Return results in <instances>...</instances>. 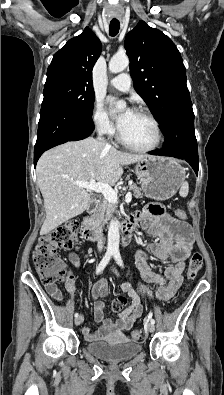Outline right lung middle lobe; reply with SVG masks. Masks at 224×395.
<instances>
[{"mask_svg":"<svg viewBox=\"0 0 224 395\" xmlns=\"http://www.w3.org/2000/svg\"><path fill=\"white\" fill-rule=\"evenodd\" d=\"M44 100L56 102L77 113L92 115L95 93L93 86L65 76L47 77Z\"/></svg>","mask_w":224,"mask_h":395,"instance_id":"obj_1","label":"right lung middle lobe"}]
</instances>
